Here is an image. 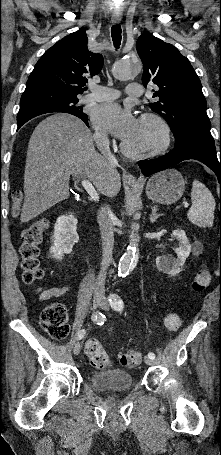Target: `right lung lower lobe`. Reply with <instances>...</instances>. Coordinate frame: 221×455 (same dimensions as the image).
I'll return each mask as SVG.
<instances>
[{
  "label": "right lung lower lobe",
  "instance_id": "98d812e1",
  "mask_svg": "<svg viewBox=\"0 0 221 455\" xmlns=\"http://www.w3.org/2000/svg\"><path fill=\"white\" fill-rule=\"evenodd\" d=\"M36 116H38V115L28 116V117H25V118L19 120V121H18V128H17V129H19V128H20L24 123H26L28 120H30V119H32V118H34V117H36ZM86 125H88V123H86ZM88 126H89V125H88Z\"/></svg>",
  "mask_w": 221,
  "mask_h": 455
}]
</instances>
